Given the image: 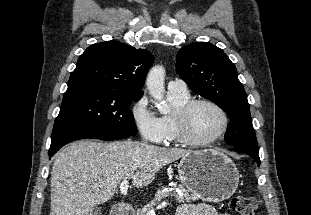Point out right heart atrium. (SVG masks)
I'll use <instances>...</instances> for the list:
<instances>
[{
    "label": "right heart atrium",
    "instance_id": "d8ad5b80",
    "mask_svg": "<svg viewBox=\"0 0 311 215\" xmlns=\"http://www.w3.org/2000/svg\"><path fill=\"white\" fill-rule=\"evenodd\" d=\"M130 111L134 125L144 140L155 144L166 142V125L152 110L145 95L133 102Z\"/></svg>",
    "mask_w": 311,
    "mask_h": 215
}]
</instances>
